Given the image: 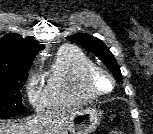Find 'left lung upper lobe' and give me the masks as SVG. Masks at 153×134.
<instances>
[{
  "label": "left lung upper lobe",
  "mask_w": 153,
  "mask_h": 134,
  "mask_svg": "<svg viewBox=\"0 0 153 134\" xmlns=\"http://www.w3.org/2000/svg\"><path fill=\"white\" fill-rule=\"evenodd\" d=\"M66 39L81 46L87 47L91 52H93L94 55H96L107 65L109 70L114 75L121 76V71L114 58V55L109 51L104 42L85 33L74 34L72 36L66 37Z\"/></svg>",
  "instance_id": "5c2ea615"
}]
</instances>
